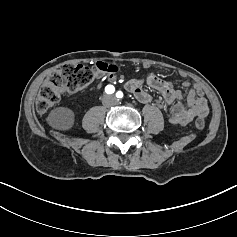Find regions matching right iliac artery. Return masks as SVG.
<instances>
[{
	"instance_id": "obj_1",
	"label": "right iliac artery",
	"mask_w": 237,
	"mask_h": 237,
	"mask_svg": "<svg viewBox=\"0 0 237 237\" xmlns=\"http://www.w3.org/2000/svg\"><path fill=\"white\" fill-rule=\"evenodd\" d=\"M114 91H115V88H114L113 85H107V86L105 87V92H106L107 94H112V93H114Z\"/></svg>"
}]
</instances>
